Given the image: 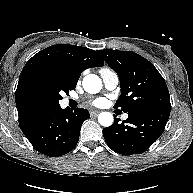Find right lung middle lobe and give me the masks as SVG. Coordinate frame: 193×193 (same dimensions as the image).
I'll use <instances>...</instances> for the list:
<instances>
[{"label":"right lung middle lobe","mask_w":193,"mask_h":193,"mask_svg":"<svg viewBox=\"0 0 193 193\" xmlns=\"http://www.w3.org/2000/svg\"><path fill=\"white\" fill-rule=\"evenodd\" d=\"M74 88L75 86L65 83L59 76L45 75L35 80L32 91L38 98L59 103L62 98L60 93H69Z\"/></svg>","instance_id":"obj_1"}]
</instances>
